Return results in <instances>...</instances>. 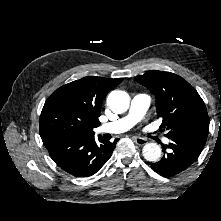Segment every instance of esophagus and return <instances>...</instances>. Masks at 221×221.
<instances>
[{
  "mask_svg": "<svg viewBox=\"0 0 221 221\" xmlns=\"http://www.w3.org/2000/svg\"><path fill=\"white\" fill-rule=\"evenodd\" d=\"M133 140L139 146H143L147 143V140L141 137H134Z\"/></svg>",
  "mask_w": 221,
  "mask_h": 221,
  "instance_id": "esophagus-1",
  "label": "esophagus"
}]
</instances>
